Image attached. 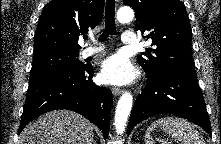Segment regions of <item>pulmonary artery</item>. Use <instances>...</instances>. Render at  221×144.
I'll list each match as a JSON object with an SVG mask.
<instances>
[{"instance_id": "pulmonary-artery-1", "label": "pulmonary artery", "mask_w": 221, "mask_h": 144, "mask_svg": "<svg viewBox=\"0 0 221 144\" xmlns=\"http://www.w3.org/2000/svg\"><path fill=\"white\" fill-rule=\"evenodd\" d=\"M122 42L124 44H129V45L135 44L137 42L135 33L132 31H125L122 35ZM102 50H103L102 46L88 47L81 52V56L84 58L90 57L101 52Z\"/></svg>"}]
</instances>
